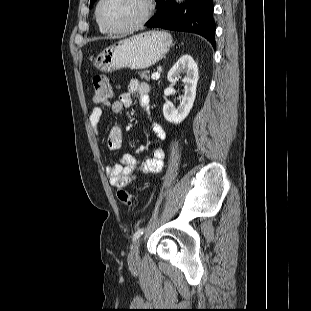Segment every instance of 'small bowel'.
<instances>
[{
	"instance_id": "1",
	"label": "small bowel",
	"mask_w": 311,
	"mask_h": 311,
	"mask_svg": "<svg viewBox=\"0 0 311 311\" xmlns=\"http://www.w3.org/2000/svg\"><path fill=\"white\" fill-rule=\"evenodd\" d=\"M139 99V105L144 112L150 114V87L148 84L137 79L130 80L128 90L120 94L119 98L107 104L95 106L89 114V124L96 137H99V125L103 115L104 107H109L115 114H120L124 109L133 104V96ZM151 131L159 139L164 141L167 137L165 129L152 123ZM122 130L119 126H113L107 136V147L115 151L121 147ZM165 152L162 148H155L152 155L141 162H137L131 154H123L117 163L105 168L106 175L112 187L121 188L129 186L138 176L159 173L163 169Z\"/></svg>"
}]
</instances>
